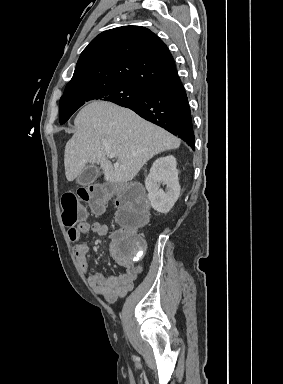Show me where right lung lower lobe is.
I'll list each match as a JSON object with an SVG mask.
<instances>
[{
    "label": "right lung lower lobe",
    "mask_w": 283,
    "mask_h": 384,
    "mask_svg": "<svg viewBox=\"0 0 283 384\" xmlns=\"http://www.w3.org/2000/svg\"><path fill=\"white\" fill-rule=\"evenodd\" d=\"M118 105L178 136L195 150L188 98L178 74L149 87L142 98Z\"/></svg>",
    "instance_id": "98d812e1"
}]
</instances>
